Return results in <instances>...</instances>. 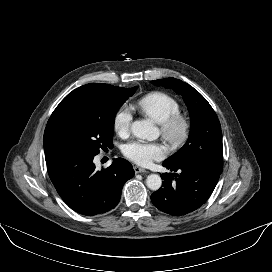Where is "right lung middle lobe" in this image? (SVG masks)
<instances>
[{"mask_svg":"<svg viewBox=\"0 0 272 272\" xmlns=\"http://www.w3.org/2000/svg\"><path fill=\"white\" fill-rule=\"evenodd\" d=\"M137 88H128L107 100L100 115L66 116L53 121L44 133L46 163L72 155H97L100 149L112 148L114 115Z\"/></svg>","mask_w":272,"mask_h":272,"instance_id":"obj_1","label":"right lung middle lobe"}]
</instances>
